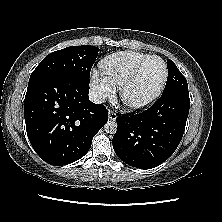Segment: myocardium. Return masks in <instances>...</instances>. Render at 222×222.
<instances>
[{"instance_id": "1", "label": "myocardium", "mask_w": 222, "mask_h": 222, "mask_svg": "<svg viewBox=\"0 0 222 222\" xmlns=\"http://www.w3.org/2000/svg\"><path fill=\"white\" fill-rule=\"evenodd\" d=\"M153 59H159L164 67V75L162 78V81L157 88V90L148 98L145 100L139 101V102H132L129 101L126 97V93L128 89L136 82V80L139 78L143 68L147 65L148 62H150ZM168 79V66L164 59H162L160 56L157 55H151L145 60H143L136 69L132 72V74L123 82V84L120 86V98L124 105L129 108L130 110H141L144 108H147L151 104H153L162 94L166 83Z\"/></svg>"}]
</instances>
